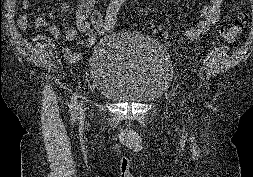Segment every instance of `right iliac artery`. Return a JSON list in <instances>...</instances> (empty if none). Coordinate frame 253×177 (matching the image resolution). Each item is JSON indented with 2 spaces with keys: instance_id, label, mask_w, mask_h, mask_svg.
I'll return each mask as SVG.
<instances>
[{
  "instance_id": "1",
  "label": "right iliac artery",
  "mask_w": 253,
  "mask_h": 177,
  "mask_svg": "<svg viewBox=\"0 0 253 177\" xmlns=\"http://www.w3.org/2000/svg\"><path fill=\"white\" fill-rule=\"evenodd\" d=\"M78 93L77 91L74 92L73 96H72V99H71V104H70V109H71V113L73 116H76V113H77V109H78Z\"/></svg>"
}]
</instances>
